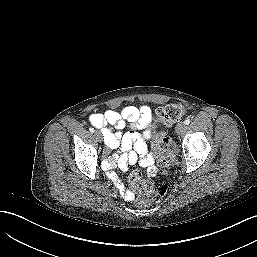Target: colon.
<instances>
[{"label":"colon","mask_w":257,"mask_h":257,"mask_svg":"<svg viewBox=\"0 0 257 257\" xmlns=\"http://www.w3.org/2000/svg\"><path fill=\"white\" fill-rule=\"evenodd\" d=\"M185 108L181 104L171 103L156 110V119L165 125L179 122L185 115ZM153 149L157 154L161 167H167L174 162V153L171 149V140L165 133H158L153 138ZM133 190L140 194L136 204L145 206L160 201L167 193L168 183L161 181L157 186L143 180L141 173L133 172L129 177Z\"/></svg>","instance_id":"colon-1"}]
</instances>
